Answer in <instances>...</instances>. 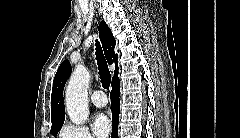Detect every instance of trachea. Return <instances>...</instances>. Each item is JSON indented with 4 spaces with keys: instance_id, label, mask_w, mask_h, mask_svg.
<instances>
[{
    "instance_id": "3493384b",
    "label": "trachea",
    "mask_w": 240,
    "mask_h": 138,
    "mask_svg": "<svg viewBox=\"0 0 240 138\" xmlns=\"http://www.w3.org/2000/svg\"><path fill=\"white\" fill-rule=\"evenodd\" d=\"M96 60L102 86L108 89L111 82V74L99 42H96Z\"/></svg>"
}]
</instances>
